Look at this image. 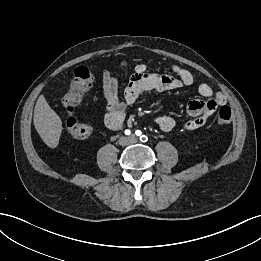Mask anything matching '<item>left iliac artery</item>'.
Instances as JSON below:
<instances>
[{"instance_id": "left-iliac-artery-1", "label": "left iliac artery", "mask_w": 261, "mask_h": 261, "mask_svg": "<svg viewBox=\"0 0 261 261\" xmlns=\"http://www.w3.org/2000/svg\"><path fill=\"white\" fill-rule=\"evenodd\" d=\"M135 133H136L137 136H140L142 134V132L140 130H137ZM140 140L142 142H146L148 140V138H147V136L143 135V136L140 137Z\"/></svg>"}]
</instances>
